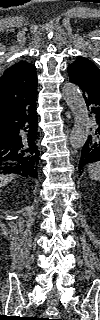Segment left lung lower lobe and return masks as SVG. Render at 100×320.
<instances>
[{"mask_svg":"<svg viewBox=\"0 0 100 320\" xmlns=\"http://www.w3.org/2000/svg\"><path fill=\"white\" fill-rule=\"evenodd\" d=\"M70 82L79 87L88 106H91L93 124L83 146L79 160V170L88 163L100 161V95L81 81L69 76Z\"/></svg>","mask_w":100,"mask_h":320,"instance_id":"1","label":"left lung lower lobe"}]
</instances>
